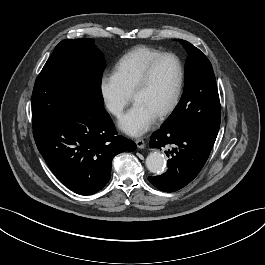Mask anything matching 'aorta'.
I'll list each match as a JSON object with an SVG mask.
<instances>
[{"label": "aorta", "mask_w": 265, "mask_h": 265, "mask_svg": "<svg viewBox=\"0 0 265 265\" xmlns=\"http://www.w3.org/2000/svg\"><path fill=\"white\" fill-rule=\"evenodd\" d=\"M147 169L156 174H160L164 171L166 167V161L164 155L160 151L151 152L146 159Z\"/></svg>", "instance_id": "obj_1"}]
</instances>
